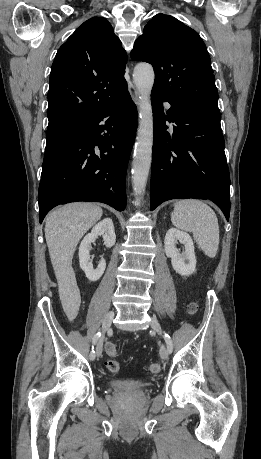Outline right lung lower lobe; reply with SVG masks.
Wrapping results in <instances>:
<instances>
[{"instance_id":"obj_1","label":"right lung lower lobe","mask_w":261,"mask_h":459,"mask_svg":"<svg viewBox=\"0 0 261 459\" xmlns=\"http://www.w3.org/2000/svg\"><path fill=\"white\" fill-rule=\"evenodd\" d=\"M104 119L105 125L100 124ZM136 129L137 108L126 91L46 150L38 193L40 223L53 207L69 202H102L123 211Z\"/></svg>"}]
</instances>
